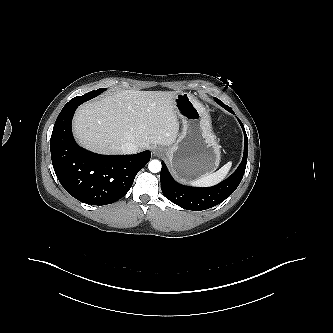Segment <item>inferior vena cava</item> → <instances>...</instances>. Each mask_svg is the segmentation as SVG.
<instances>
[{
	"label": "inferior vena cava",
	"instance_id": "1",
	"mask_svg": "<svg viewBox=\"0 0 333 333\" xmlns=\"http://www.w3.org/2000/svg\"><path fill=\"white\" fill-rule=\"evenodd\" d=\"M120 150L123 154H135L139 148L136 144L127 142L121 146Z\"/></svg>",
	"mask_w": 333,
	"mask_h": 333
}]
</instances>
